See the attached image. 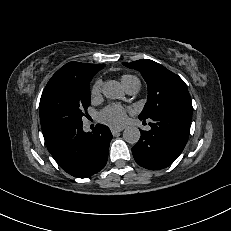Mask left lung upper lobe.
<instances>
[{"label":"left lung upper lobe","instance_id":"1","mask_svg":"<svg viewBox=\"0 0 231 231\" xmlns=\"http://www.w3.org/2000/svg\"><path fill=\"white\" fill-rule=\"evenodd\" d=\"M123 65L138 70L147 83L148 99L139 115L140 120L165 111L192 115L193 108L187 85L178 75L149 59L123 63Z\"/></svg>","mask_w":231,"mask_h":231}]
</instances>
